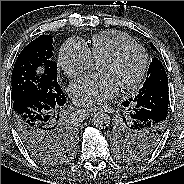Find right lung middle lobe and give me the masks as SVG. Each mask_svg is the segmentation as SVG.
<instances>
[{"instance_id":"1","label":"right lung middle lobe","mask_w":184,"mask_h":184,"mask_svg":"<svg viewBox=\"0 0 184 184\" xmlns=\"http://www.w3.org/2000/svg\"><path fill=\"white\" fill-rule=\"evenodd\" d=\"M52 38L51 35H41L19 54L12 72V101L25 97L48 101L60 91L57 82V64L52 59L54 51ZM38 67H43V74L37 73ZM55 133V139L47 145L29 150L43 163L60 162L65 154L73 150L75 132L72 126L68 124L59 126Z\"/></svg>"}]
</instances>
